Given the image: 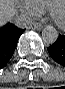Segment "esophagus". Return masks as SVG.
Returning <instances> with one entry per match:
<instances>
[{
	"mask_svg": "<svg viewBox=\"0 0 65 89\" xmlns=\"http://www.w3.org/2000/svg\"><path fill=\"white\" fill-rule=\"evenodd\" d=\"M30 28L36 29V30H41L43 28V25L39 22H34L30 25Z\"/></svg>",
	"mask_w": 65,
	"mask_h": 89,
	"instance_id": "esophagus-1",
	"label": "esophagus"
}]
</instances>
